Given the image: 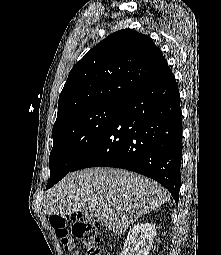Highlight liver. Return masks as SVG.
<instances>
[{
  "mask_svg": "<svg viewBox=\"0 0 221 255\" xmlns=\"http://www.w3.org/2000/svg\"><path fill=\"white\" fill-rule=\"evenodd\" d=\"M168 200L167 190L150 178L98 167L68 174L48 191L43 207L49 216L91 210L102 225L121 235L142 215Z\"/></svg>",
  "mask_w": 221,
  "mask_h": 255,
  "instance_id": "6515ba94",
  "label": "liver"
}]
</instances>
